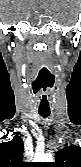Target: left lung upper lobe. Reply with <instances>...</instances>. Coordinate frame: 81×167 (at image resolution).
<instances>
[{"mask_svg":"<svg viewBox=\"0 0 81 167\" xmlns=\"http://www.w3.org/2000/svg\"><path fill=\"white\" fill-rule=\"evenodd\" d=\"M51 167H81V148L66 146L56 153V162Z\"/></svg>","mask_w":81,"mask_h":167,"instance_id":"1","label":"left lung upper lobe"}]
</instances>
